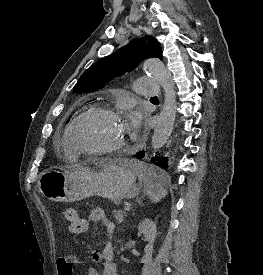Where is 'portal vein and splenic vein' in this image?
<instances>
[{
    "label": "portal vein and splenic vein",
    "instance_id": "1",
    "mask_svg": "<svg viewBox=\"0 0 263 275\" xmlns=\"http://www.w3.org/2000/svg\"><path fill=\"white\" fill-rule=\"evenodd\" d=\"M130 210V207L129 206H125L124 207V211H129Z\"/></svg>",
    "mask_w": 263,
    "mask_h": 275
}]
</instances>
